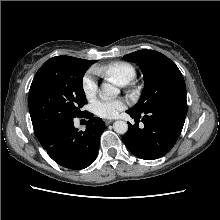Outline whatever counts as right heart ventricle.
Returning a JSON list of instances; mask_svg holds the SVG:
<instances>
[{"mask_svg": "<svg viewBox=\"0 0 220 220\" xmlns=\"http://www.w3.org/2000/svg\"><path fill=\"white\" fill-rule=\"evenodd\" d=\"M96 72L120 86L129 84L136 77L135 67L124 61L111 62L98 67Z\"/></svg>", "mask_w": 220, "mask_h": 220, "instance_id": "e07e8e85", "label": "right heart ventricle"}]
</instances>
